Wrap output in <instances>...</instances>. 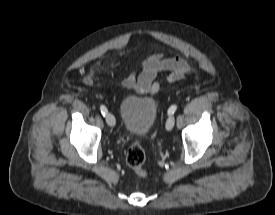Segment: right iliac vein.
I'll list each match as a JSON object with an SVG mask.
<instances>
[{
    "mask_svg": "<svg viewBox=\"0 0 275 215\" xmlns=\"http://www.w3.org/2000/svg\"><path fill=\"white\" fill-rule=\"evenodd\" d=\"M106 122L109 126L113 127L116 124L115 117L111 113L106 114Z\"/></svg>",
    "mask_w": 275,
    "mask_h": 215,
    "instance_id": "obj_1",
    "label": "right iliac vein"
}]
</instances>
